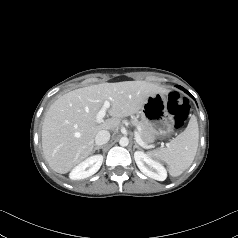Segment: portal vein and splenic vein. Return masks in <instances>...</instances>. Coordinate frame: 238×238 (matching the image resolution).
Here are the masks:
<instances>
[{
  "label": "portal vein and splenic vein",
  "mask_w": 238,
  "mask_h": 238,
  "mask_svg": "<svg viewBox=\"0 0 238 238\" xmlns=\"http://www.w3.org/2000/svg\"><path fill=\"white\" fill-rule=\"evenodd\" d=\"M110 108V102L109 101H105L102 108L99 110V112L97 113L96 119L98 122H101L104 118V116L106 115L107 110ZM135 139L136 142L141 145V146H145V143L142 141L139 133L137 131H135Z\"/></svg>",
  "instance_id": "1"
}]
</instances>
